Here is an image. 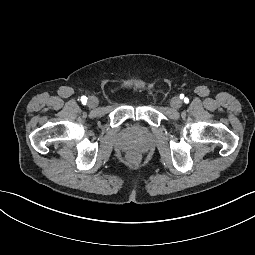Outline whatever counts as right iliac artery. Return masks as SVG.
<instances>
[{"label": "right iliac artery", "mask_w": 255, "mask_h": 255, "mask_svg": "<svg viewBox=\"0 0 255 255\" xmlns=\"http://www.w3.org/2000/svg\"><path fill=\"white\" fill-rule=\"evenodd\" d=\"M81 101H82V103H86L87 102V98L85 96H82L81 97Z\"/></svg>", "instance_id": "right-iliac-artery-1"}]
</instances>
